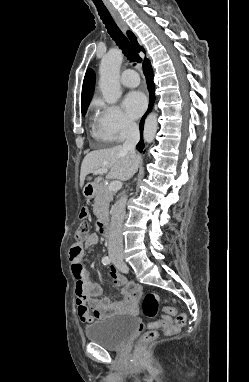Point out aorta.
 Segmentation results:
<instances>
[{
  "mask_svg": "<svg viewBox=\"0 0 249 382\" xmlns=\"http://www.w3.org/2000/svg\"><path fill=\"white\" fill-rule=\"evenodd\" d=\"M123 60V53L120 49H110L102 58L100 64L99 87L104 100L108 104H115L121 97L122 91L119 83L120 67ZM157 115L151 113L145 120L143 138L147 143H151L157 133Z\"/></svg>",
  "mask_w": 249,
  "mask_h": 382,
  "instance_id": "aorta-1",
  "label": "aorta"
}]
</instances>
